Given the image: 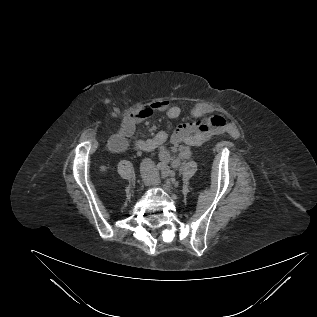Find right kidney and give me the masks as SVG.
<instances>
[{"label":"right kidney","instance_id":"ca27d5eb","mask_svg":"<svg viewBox=\"0 0 317 317\" xmlns=\"http://www.w3.org/2000/svg\"><path fill=\"white\" fill-rule=\"evenodd\" d=\"M99 168H100V171H105L107 169V167L104 165L100 166Z\"/></svg>","mask_w":317,"mask_h":317}]
</instances>
